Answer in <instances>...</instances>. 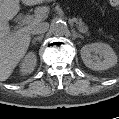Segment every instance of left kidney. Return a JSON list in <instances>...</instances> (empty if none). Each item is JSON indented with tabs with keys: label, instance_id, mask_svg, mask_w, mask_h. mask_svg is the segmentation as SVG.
<instances>
[{
	"label": "left kidney",
	"instance_id": "1",
	"mask_svg": "<svg viewBox=\"0 0 119 119\" xmlns=\"http://www.w3.org/2000/svg\"><path fill=\"white\" fill-rule=\"evenodd\" d=\"M80 54L84 64L96 71L109 69L117 63L114 50L108 44L101 42L83 46Z\"/></svg>",
	"mask_w": 119,
	"mask_h": 119
}]
</instances>
